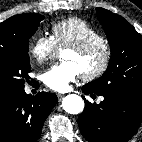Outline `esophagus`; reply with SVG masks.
<instances>
[{"label":"esophagus","mask_w":142,"mask_h":142,"mask_svg":"<svg viewBox=\"0 0 142 142\" xmlns=\"http://www.w3.org/2000/svg\"><path fill=\"white\" fill-rule=\"evenodd\" d=\"M57 97H58L59 100H61L64 97V95L63 94H57Z\"/></svg>","instance_id":"34e87169"}]
</instances>
